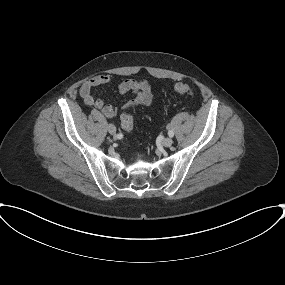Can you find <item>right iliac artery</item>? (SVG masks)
I'll return each mask as SVG.
<instances>
[{"mask_svg": "<svg viewBox=\"0 0 285 285\" xmlns=\"http://www.w3.org/2000/svg\"><path fill=\"white\" fill-rule=\"evenodd\" d=\"M123 137V135L121 133L117 134V138L121 139Z\"/></svg>", "mask_w": 285, "mask_h": 285, "instance_id": "obj_1", "label": "right iliac artery"}]
</instances>
